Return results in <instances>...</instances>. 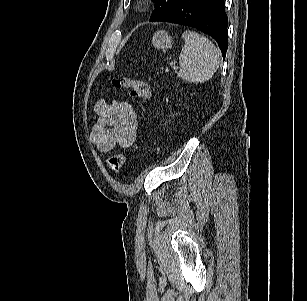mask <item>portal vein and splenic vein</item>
I'll list each match as a JSON object with an SVG mask.
<instances>
[{"instance_id": "portal-vein-and-splenic-vein-1", "label": "portal vein and splenic vein", "mask_w": 307, "mask_h": 301, "mask_svg": "<svg viewBox=\"0 0 307 301\" xmlns=\"http://www.w3.org/2000/svg\"><path fill=\"white\" fill-rule=\"evenodd\" d=\"M164 72H165V73H168V72H169V69H168V68H166V69L164 70Z\"/></svg>"}]
</instances>
